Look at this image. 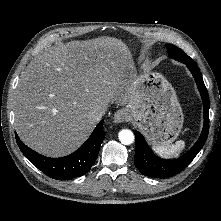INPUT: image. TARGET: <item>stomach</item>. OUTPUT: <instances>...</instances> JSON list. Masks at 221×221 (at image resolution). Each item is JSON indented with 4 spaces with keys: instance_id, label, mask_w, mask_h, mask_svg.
<instances>
[{
    "instance_id": "stomach-1",
    "label": "stomach",
    "mask_w": 221,
    "mask_h": 221,
    "mask_svg": "<svg viewBox=\"0 0 221 221\" xmlns=\"http://www.w3.org/2000/svg\"><path fill=\"white\" fill-rule=\"evenodd\" d=\"M133 96L125 106L128 118L153 145L171 144L180 134L184 116L176 92L157 72L133 81Z\"/></svg>"
}]
</instances>
